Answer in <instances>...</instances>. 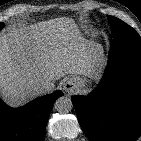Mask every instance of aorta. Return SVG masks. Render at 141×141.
Returning <instances> with one entry per match:
<instances>
[{"instance_id": "aorta-1", "label": "aorta", "mask_w": 141, "mask_h": 141, "mask_svg": "<svg viewBox=\"0 0 141 141\" xmlns=\"http://www.w3.org/2000/svg\"><path fill=\"white\" fill-rule=\"evenodd\" d=\"M73 104L69 97H59L54 104V108L59 113H68L72 110Z\"/></svg>"}]
</instances>
